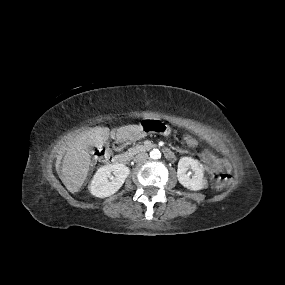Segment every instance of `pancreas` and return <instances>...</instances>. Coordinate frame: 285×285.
Returning <instances> with one entry per match:
<instances>
[{"instance_id": "pancreas-1", "label": "pancreas", "mask_w": 285, "mask_h": 285, "mask_svg": "<svg viewBox=\"0 0 285 285\" xmlns=\"http://www.w3.org/2000/svg\"><path fill=\"white\" fill-rule=\"evenodd\" d=\"M135 149H136L137 151H143V150L146 149V146H145V145H137V146L135 147Z\"/></svg>"}]
</instances>
